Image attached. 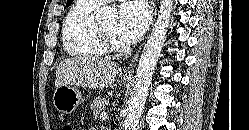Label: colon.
Instances as JSON below:
<instances>
[{
    "instance_id": "obj_1",
    "label": "colon",
    "mask_w": 249,
    "mask_h": 130,
    "mask_svg": "<svg viewBox=\"0 0 249 130\" xmlns=\"http://www.w3.org/2000/svg\"><path fill=\"white\" fill-rule=\"evenodd\" d=\"M62 130H75L73 126L71 125H65Z\"/></svg>"
}]
</instances>
